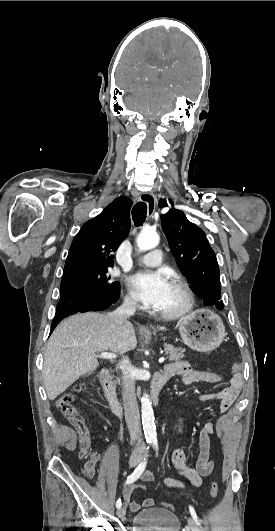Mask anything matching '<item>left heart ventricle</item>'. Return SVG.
<instances>
[{"label":"left heart ventricle","instance_id":"left-heart-ventricle-1","mask_svg":"<svg viewBox=\"0 0 275 531\" xmlns=\"http://www.w3.org/2000/svg\"><path fill=\"white\" fill-rule=\"evenodd\" d=\"M183 302L184 297L181 290L171 281L161 304L156 307V310L159 312L176 311L182 307Z\"/></svg>","mask_w":275,"mask_h":531}]
</instances>
